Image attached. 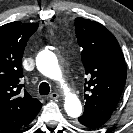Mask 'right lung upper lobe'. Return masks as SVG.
<instances>
[{
    "label": "right lung upper lobe",
    "mask_w": 133,
    "mask_h": 133,
    "mask_svg": "<svg viewBox=\"0 0 133 133\" xmlns=\"http://www.w3.org/2000/svg\"><path fill=\"white\" fill-rule=\"evenodd\" d=\"M37 23L12 22L0 27V127L15 130L25 126L42 104L22 91V56Z\"/></svg>",
    "instance_id": "obj_1"
}]
</instances>
